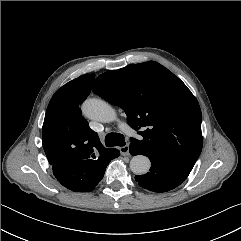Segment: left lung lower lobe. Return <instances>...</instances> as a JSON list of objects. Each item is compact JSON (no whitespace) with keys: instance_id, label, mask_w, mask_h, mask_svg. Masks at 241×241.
<instances>
[{"instance_id":"0a47b994","label":"left lung lower lobe","mask_w":241,"mask_h":241,"mask_svg":"<svg viewBox=\"0 0 241 241\" xmlns=\"http://www.w3.org/2000/svg\"><path fill=\"white\" fill-rule=\"evenodd\" d=\"M132 155L142 154L137 147L130 144ZM151 161L150 172L145 175H136L138 184L150 191L166 192L179 186L189 175L192 168L180 165L160 157L146 155Z\"/></svg>"}]
</instances>
